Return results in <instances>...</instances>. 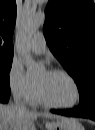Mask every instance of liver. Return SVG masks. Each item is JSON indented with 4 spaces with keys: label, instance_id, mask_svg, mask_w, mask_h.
<instances>
[{
    "label": "liver",
    "instance_id": "6515ba94",
    "mask_svg": "<svg viewBox=\"0 0 95 130\" xmlns=\"http://www.w3.org/2000/svg\"><path fill=\"white\" fill-rule=\"evenodd\" d=\"M38 117L62 119L49 112L19 111L12 104L0 105V130H36L35 122Z\"/></svg>",
    "mask_w": 95,
    "mask_h": 130
}]
</instances>
